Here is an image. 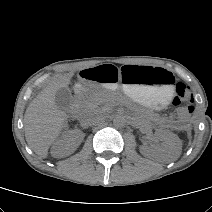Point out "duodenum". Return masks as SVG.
Instances as JSON below:
<instances>
[{
  "instance_id": "obj_1",
  "label": "duodenum",
  "mask_w": 212,
  "mask_h": 212,
  "mask_svg": "<svg viewBox=\"0 0 212 212\" xmlns=\"http://www.w3.org/2000/svg\"><path fill=\"white\" fill-rule=\"evenodd\" d=\"M79 95H80V92L77 89V91L75 92V97L78 98ZM77 109H78L77 104L76 103H73L71 105V112L72 113H76L77 112Z\"/></svg>"
}]
</instances>
